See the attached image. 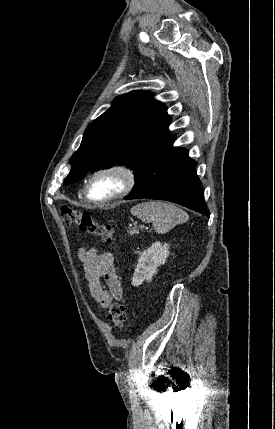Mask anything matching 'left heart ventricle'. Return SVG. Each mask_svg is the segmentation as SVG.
<instances>
[{
  "label": "left heart ventricle",
  "instance_id": "b2bd125f",
  "mask_svg": "<svg viewBox=\"0 0 275 429\" xmlns=\"http://www.w3.org/2000/svg\"><path fill=\"white\" fill-rule=\"evenodd\" d=\"M120 186L119 177L114 174H103L93 180L90 195L94 199H103L115 193Z\"/></svg>",
  "mask_w": 275,
  "mask_h": 429
}]
</instances>
